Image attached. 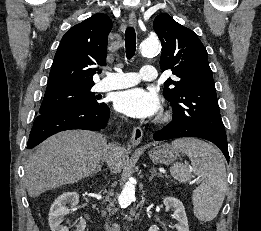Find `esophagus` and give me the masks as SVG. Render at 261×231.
<instances>
[{"mask_svg":"<svg viewBox=\"0 0 261 231\" xmlns=\"http://www.w3.org/2000/svg\"><path fill=\"white\" fill-rule=\"evenodd\" d=\"M129 22L131 25L134 26L137 25L136 14L133 11L129 14ZM142 137H143V130L141 129V127L139 126L134 127L130 139V143L132 144V146H138L141 143Z\"/></svg>","mask_w":261,"mask_h":231,"instance_id":"obj_1","label":"esophagus"}]
</instances>
